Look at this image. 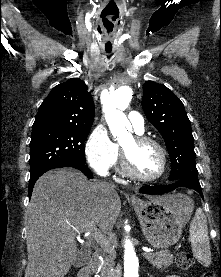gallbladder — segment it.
<instances>
[{"instance_id":"1","label":"gallbladder","mask_w":221,"mask_h":277,"mask_svg":"<svg viewBox=\"0 0 221 277\" xmlns=\"http://www.w3.org/2000/svg\"><path fill=\"white\" fill-rule=\"evenodd\" d=\"M89 259V254L85 251H80L77 253L76 259L73 263L75 267H81L86 264Z\"/></svg>"}]
</instances>
